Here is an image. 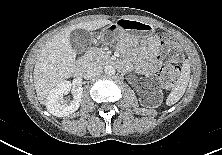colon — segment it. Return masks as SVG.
Wrapping results in <instances>:
<instances>
[{"label":"colon","instance_id":"5ec220e1","mask_svg":"<svg viewBox=\"0 0 222 155\" xmlns=\"http://www.w3.org/2000/svg\"><path fill=\"white\" fill-rule=\"evenodd\" d=\"M160 44L163 50V58L167 60H177L181 56L180 49L175 44L171 36L163 34L160 37ZM179 67L173 64H166L161 69V80L165 86L171 88L173 87L179 75Z\"/></svg>","mask_w":222,"mask_h":155}]
</instances>
